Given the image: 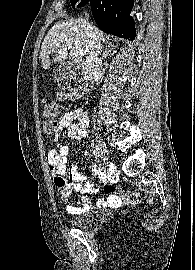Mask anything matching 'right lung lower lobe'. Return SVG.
Returning <instances> with one entry per match:
<instances>
[{"label": "right lung lower lobe", "mask_w": 195, "mask_h": 270, "mask_svg": "<svg viewBox=\"0 0 195 270\" xmlns=\"http://www.w3.org/2000/svg\"><path fill=\"white\" fill-rule=\"evenodd\" d=\"M90 3L92 14L98 27L121 38H135V24L130 16L134 0H81ZM80 2V3H81Z\"/></svg>", "instance_id": "98d812e1"}]
</instances>
